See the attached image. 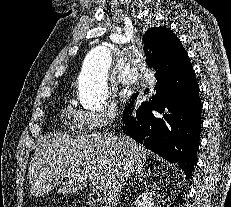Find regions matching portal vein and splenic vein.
Instances as JSON below:
<instances>
[{
    "label": "portal vein and splenic vein",
    "instance_id": "1",
    "mask_svg": "<svg viewBox=\"0 0 231 207\" xmlns=\"http://www.w3.org/2000/svg\"><path fill=\"white\" fill-rule=\"evenodd\" d=\"M91 185L97 190H102L100 184L97 181H92Z\"/></svg>",
    "mask_w": 231,
    "mask_h": 207
}]
</instances>
